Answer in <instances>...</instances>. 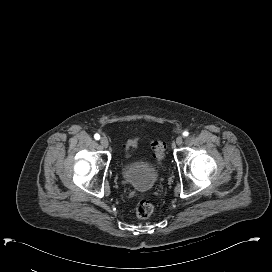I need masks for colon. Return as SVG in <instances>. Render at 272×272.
<instances>
[{"label":"colon","instance_id":"obj_1","mask_svg":"<svg viewBox=\"0 0 272 272\" xmlns=\"http://www.w3.org/2000/svg\"><path fill=\"white\" fill-rule=\"evenodd\" d=\"M135 146H136V141L130 140L127 143L126 147L128 149H131V148H134ZM164 154H165L164 143L162 141H155L153 143V157L156 163H160V161L163 160ZM153 210H154V206L152 202L149 199L144 198L137 203L135 208V213L139 219H147L151 216V214L153 213Z\"/></svg>","mask_w":272,"mask_h":272}]
</instances>
